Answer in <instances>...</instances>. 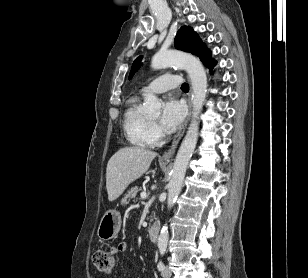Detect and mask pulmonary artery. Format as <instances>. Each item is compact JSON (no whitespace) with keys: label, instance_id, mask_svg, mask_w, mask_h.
I'll return each instance as SVG.
<instances>
[{"label":"pulmonary artery","instance_id":"e3ab8cb5","mask_svg":"<svg viewBox=\"0 0 308 278\" xmlns=\"http://www.w3.org/2000/svg\"><path fill=\"white\" fill-rule=\"evenodd\" d=\"M180 83L181 78L178 75H163L153 80L147 86L143 87L141 93H163L177 87Z\"/></svg>","mask_w":308,"mask_h":278}]
</instances>
